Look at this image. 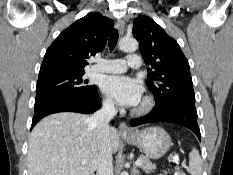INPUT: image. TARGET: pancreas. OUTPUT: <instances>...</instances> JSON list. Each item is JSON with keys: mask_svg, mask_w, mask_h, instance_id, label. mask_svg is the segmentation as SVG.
Wrapping results in <instances>:
<instances>
[{"mask_svg": "<svg viewBox=\"0 0 233 175\" xmlns=\"http://www.w3.org/2000/svg\"><path fill=\"white\" fill-rule=\"evenodd\" d=\"M140 159H142L143 163L141 164V168L142 170H144L146 173H150L153 170L156 169V165L153 164L149 158L145 157V156H140Z\"/></svg>", "mask_w": 233, "mask_h": 175, "instance_id": "obj_1", "label": "pancreas"}]
</instances>
